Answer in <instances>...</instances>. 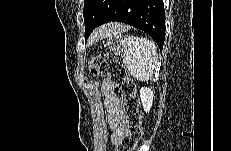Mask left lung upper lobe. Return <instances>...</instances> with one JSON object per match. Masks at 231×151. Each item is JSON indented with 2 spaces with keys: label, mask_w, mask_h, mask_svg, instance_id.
I'll return each instance as SVG.
<instances>
[{
  "label": "left lung upper lobe",
  "mask_w": 231,
  "mask_h": 151,
  "mask_svg": "<svg viewBox=\"0 0 231 151\" xmlns=\"http://www.w3.org/2000/svg\"><path fill=\"white\" fill-rule=\"evenodd\" d=\"M113 0H84L85 35L91 33L108 12Z\"/></svg>",
  "instance_id": "obj_1"
}]
</instances>
